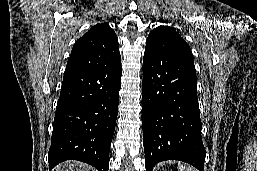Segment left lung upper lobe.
I'll return each instance as SVG.
<instances>
[{
  "label": "left lung upper lobe",
  "mask_w": 257,
  "mask_h": 171,
  "mask_svg": "<svg viewBox=\"0 0 257 171\" xmlns=\"http://www.w3.org/2000/svg\"><path fill=\"white\" fill-rule=\"evenodd\" d=\"M145 51L149 53L167 51L194 62L189 45L178 32L169 26H159L150 32Z\"/></svg>",
  "instance_id": "1"
}]
</instances>
